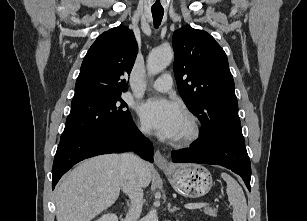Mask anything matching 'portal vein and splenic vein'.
I'll return each mask as SVG.
<instances>
[{
    "label": "portal vein and splenic vein",
    "instance_id": "portal-vein-and-splenic-vein-1",
    "mask_svg": "<svg viewBox=\"0 0 307 221\" xmlns=\"http://www.w3.org/2000/svg\"><path fill=\"white\" fill-rule=\"evenodd\" d=\"M207 205L208 203H189L185 205V208L186 209H199Z\"/></svg>",
    "mask_w": 307,
    "mask_h": 221
}]
</instances>
